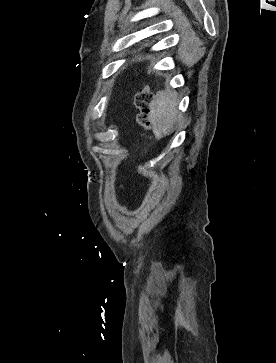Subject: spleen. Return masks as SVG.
<instances>
[{"mask_svg": "<svg viewBox=\"0 0 276 363\" xmlns=\"http://www.w3.org/2000/svg\"><path fill=\"white\" fill-rule=\"evenodd\" d=\"M177 105V94L169 88L158 91L152 100L149 119L158 139L170 135L174 131L178 113Z\"/></svg>", "mask_w": 276, "mask_h": 363, "instance_id": "3e777b00", "label": "spleen"}]
</instances>
